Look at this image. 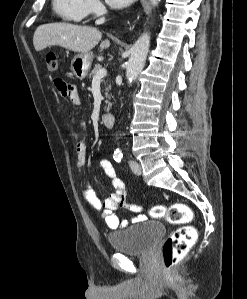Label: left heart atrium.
I'll return each mask as SVG.
<instances>
[{
  "label": "left heart atrium",
  "mask_w": 247,
  "mask_h": 299,
  "mask_svg": "<svg viewBox=\"0 0 247 299\" xmlns=\"http://www.w3.org/2000/svg\"><path fill=\"white\" fill-rule=\"evenodd\" d=\"M110 6L121 8L128 5L133 0H105Z\"/></svg>",
  "instance_id": "39dd6f15"
}]
</instances>
